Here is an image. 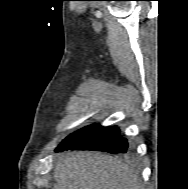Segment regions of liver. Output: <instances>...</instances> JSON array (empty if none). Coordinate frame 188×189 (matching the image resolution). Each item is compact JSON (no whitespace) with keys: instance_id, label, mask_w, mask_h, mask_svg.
Instances as JSON below:
<instances>
[{"instance_id":"obj_1","label":"liver","mask_w":188,"mask_h":189,"mask_svg":"<svg viewBox=\"0 0 188 189\" xmlns=\"http://www.w3.org/2000/svg\"><path fill=\"white\" fill-rule=\"evenodd\" d=\"M54 189H142L137 172L116 157L67 152L55 162Z\"/></svg>"}]
</instances>
